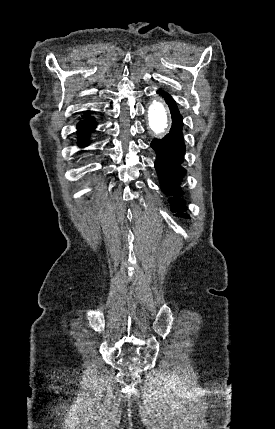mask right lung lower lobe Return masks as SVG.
Masks as SVG:
<instances>
[{
	"mask_svg": "<svg viewBox=\"0 0 275 429\" xmlns=\"http://www.w3.org/2000/svg\"><path fill=\"white\" fill-rule=\"evenodd\" d=\"M96 127V123L92 118H87L78 123L77 133L79 134V145L84 147L88 145L85 136L92 132Z\"/></svg>",
	"mask_w": 275,
	"mask_h": 429,
	"instance_id": "1",
	"label": "right lung lower lobe"
}]
</instances>
